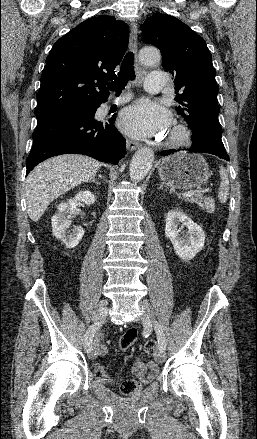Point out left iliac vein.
<instances>
[{"label": "left iliac vein", "instance_id": "obj_1", "mask_svg": "<svg viewBox=\"0 0 257 439\" xmlns=\"http://www.w3.org/2000/svg\"><path fill=\"white\" fill-rule=\"evenodd\" d=\"M139 307L143 312L144 323L147 325L152 324L154 322V311L151 304L146 300H142L139 302ZM155 358L159 363L164 362L166 358L165 352L161 348H159L157 353L155 354Z\"/></svg>", "mask_w": 257, "mask_h": 439}]
</instances>
